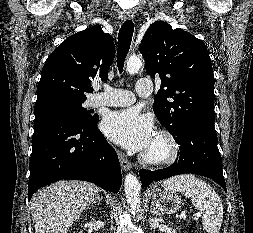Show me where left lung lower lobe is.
<instances>
[{
	"mask_svg": "<svg viewBox=\"0 0 253 233\" xmlns=\"http://www.w3.org/2000/svg\"><path fill=\"white\" fill-rule=\"evenodd\" d=\"M175 140L180 149L178 161L165 169L140 170L142 187L171 176L193 173L211 178L226 191L214 122L203 119L195 121L186 126Z\"/></svg>",
	"mask_w": 253,
	"mask_h": 233,
	"instance_id": "left-lung-lower-lobe-1",
	"label": "left lung lower lobe"
}]
</instances>
